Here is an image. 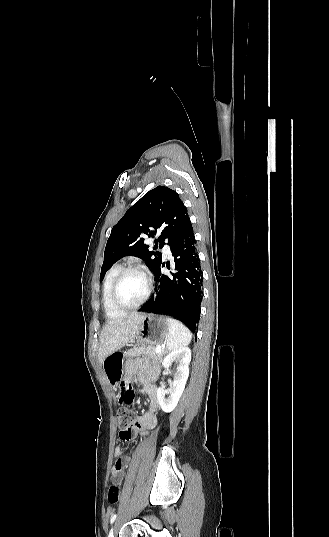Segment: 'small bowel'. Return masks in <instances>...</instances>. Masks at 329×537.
Returning <instances> with one entry per match:
<instances>
[{
  "mask_svg": "<svg viewBox=\"0 0 329 537\" xmlns=\"http://www.w3.org/2000/svg\"><path fill=\"white\" fill-rule=\"evenodd\" d=\"M157 369L149 365L142 364L138 361H129L126 365V377L120 379L118 390L120 392L119 402L122 405L129 406L133 403L136 396L133 390V379L135 376L143 383V392L149 397V408L143 414L136 424L131 428L129 433L126 430L119 432V437L122 441L130 442L137 436H145L148 430L155 427L157 423L156 414L159 408L158 392L155 386L150 381L157 375ZM123 448L117 446L114 450L115 462L111 471V479L121 482L124 479V467H126L131 459L123 456Z\"/></svg>",
  "mask_w": 329,
  "mask_h": 537,
  "instance_id": "c3829d8e",
  "label": "small bowel"
}]
</instances>
